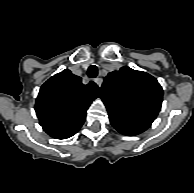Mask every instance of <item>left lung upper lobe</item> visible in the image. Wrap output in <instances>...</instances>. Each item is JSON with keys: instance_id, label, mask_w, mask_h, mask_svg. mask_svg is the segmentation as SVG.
<instances>
[{"instance_id": "left-lung-upper-lobe-1", "label": "left lung upper lobe", "mask_w": 194, "mask_h": 193, "mask_svg": "<svg viewBox=\"0 0 194 193\" xmlns=\"http://www.w3.org/2000/svg\"><path fill=\"white\" fill-rule=\"evenodd\" d=\"M101 91L109 116L145 128L157 117L163 100L162 87L153 76L129 67L110 72Z\"/></svg>"}]
</instances>
